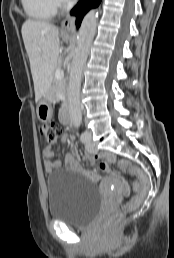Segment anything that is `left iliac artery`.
<instances>
[{
  "label": "left iliac artery",
  "mask_w": 174,
  "mask_h": 258,
  "mask_svg": "<svg viewBox=\"0 0 174 258\" xmlns=\"http://www.w3.org/2000/svg\"><path fill=\"white\" fill-rule=\"evenodd\" d=\"M80 140L85 143L88 140V135L86 132L81 134Z\"/></svg>",
  "instance_id": "left-iliac-artery-1"
}]
</instances>
